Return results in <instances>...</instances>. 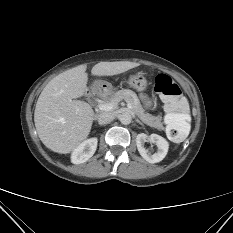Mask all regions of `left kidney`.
<instances>
[{"mask_svg":"<svg viewBox=\"0 0 233 233\" xmlns=\"http://www.w3.org/2000/svg\"><path fill=\"white\" fill-rule=\"evenodd\" d=\"M146 142L155 144L157 146V152L152 154L150 151L145 149L144 145ZM136 145L140 155L149 163L162 161L169 148L168 142L157 134H151L150 136H147L144 133L138 134L136 137Z\"/></svg>","mask_w":233,"mask_h":233,"instance_id":"obj_1","label":"left kidney"}]
</instances>
